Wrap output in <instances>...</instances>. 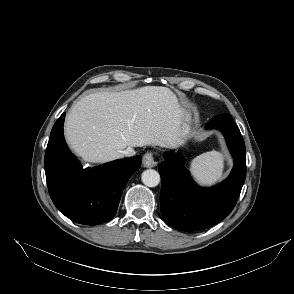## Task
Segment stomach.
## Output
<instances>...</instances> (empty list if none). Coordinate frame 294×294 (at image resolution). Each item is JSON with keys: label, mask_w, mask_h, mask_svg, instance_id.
<instances>
[{"label": "stomach", "mask_w": 294, "mask_h": 294, "mask_svg": "<svg viewBox=\"0 0 294 294\" xmlns=\"http://www.w3.org/2000/svg\"><path fill=\"white\" fill-rule=\"evenodd\" d=\"M179 132L182 139V143H184L190 137L192 133V117L188 111H185L182 116V119L179 125Z\"/></svg>", "instance_id": "stomach-1"}]
</instances>
